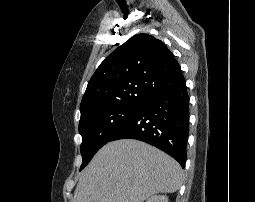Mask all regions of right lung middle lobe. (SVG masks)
I'll use <instances>...</instances> for the list:
<instances>
[{"instance_id":"obj_1","label":"right lung middle lobe","mask_w":255,"mask_h":202,"mask_svg":"<svg viewBox=\"0 0 255 202\" xmlns=\"http://www.w3.org/2000/svg\"><path fill=\"white\" fill-rule=\"evenodd\" d=\"M141 105H121L107 107L84 117L79 122L82 136L80 146L83 162L82 170L94 154L138 111Z\"/></svg>"}]
</instances>
